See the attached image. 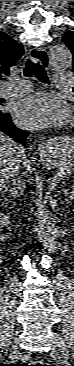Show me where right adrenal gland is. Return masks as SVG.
Instances as JSON below:
<instances>
[{
	"label": "right adrenal gland",
	"instance_id": "obj_1",
	"mask_svg": "<svg viewBox=\"0 0 74 366\" xmlns=\"http://www.w3.org/2000/svg\"><path fill=\"white\" fill-rule=\"evenodd\" d=\"M12 181V184H9L7 187H5V191H9L12 197H16L22 192L21 182L19 180L16 181L15 179Z\"/></svg>",
	"mask_w": 74,
	"mask_h": 366
}]
</instances>
